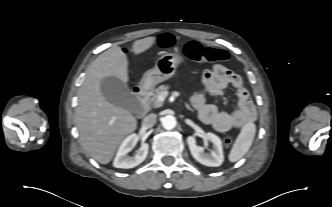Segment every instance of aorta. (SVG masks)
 I'll list each match as a JSON object with an SVG mask.
<instances>
[{"instance_id": "aorta-1", "label": "aorta", "mask_w": 332, "mask_h": 207, "mask_svg": "<svg viewBox=\"0 0 332 207\" xmlns=\"http://www.w3.org/2000/svg\"><path fill=\"white\" fill-rule=\"evenodd\" d=\"M176 124V118L172 115H167L162 118V126L167 130L175 128Z\"/></svg>"}]
</instances>
